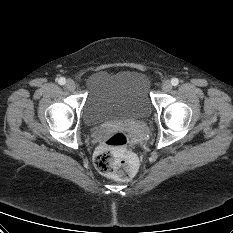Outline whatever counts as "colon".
Listing matches in <instances>:
<instances>
[{
  "instance_id": "1",
  "label": "colon",
  "mask_w": 233,
  "mask_h": 233,
  "mask_svg": "<svg viewBox=\"0 0 233 233\" xmlns=\"http://www.w3.org/2000/svg\"><path fill=\"white\" fill-rule=\"evenodd\" d=\"M129 141L125 132L115 131L102 142L94 158L99 172L121 180L129 179L134 175L136 163L127 152Z\"/></svg>"
}]
</instances>
